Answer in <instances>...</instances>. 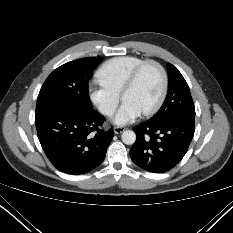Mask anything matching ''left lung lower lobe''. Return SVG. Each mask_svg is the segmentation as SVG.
<instances>
[{
    "instance_id": "obj_1",
    "label": "left lung lower lobe",
    "mask_w": 233,
    "mask_h": 233,
    "mask_svg": "<svg viewBox=\"0 0 233 233\" xmlns=\"http://www.w3.org/2000/svg\"><path fill=\"white\" fill-rule=\"evenodd\" d=\"M132 161L153 173L175 167L186 154L195 131V117L179 116L162 122L147 120L133 128Z\"/></svg>"
}]
</instances>
